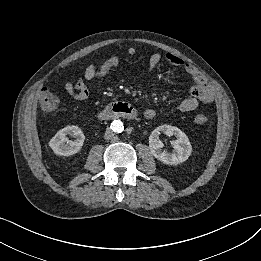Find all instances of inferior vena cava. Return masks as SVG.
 I'll return each instance as SVG.
<instances>
[{
  "instance_id": "1",
  "label": "inferior vena cava",
  "mask_w": 261,
  "mask_h": 261,
  "mask_svg": "<svg viewBox=\"0 0 261 261\" xmlns=\"http://www.w3.org/2000/svg\"><path fill=\"white\" fill-rule=\"evenodd\" d=\"M104 138H105L106 140H112V139L115 138V135H114L113 131H111V130L108 128V129L106 130V132H105Z\"/></svg>"
}]
</instances>
